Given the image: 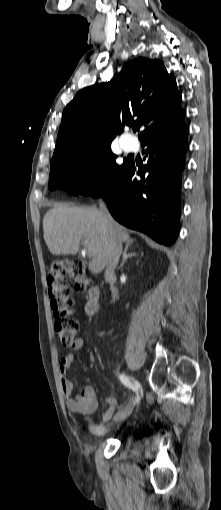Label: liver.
Returning a JSON list of instances; mask_svg holds the SVG:
<instances>
[{"label":"liver","mask_w":221,"mask_h":510,"mask_svg":"<svg viewBox=\"0 0 221 510\" xmlns=\"http://www.w3.org/2000/svg\"><path fill=\"white\" fill-rule=\"evenodd\" d=\"M44 240L56 256L76 255L83 242L91 250L88 269L94 274L106 267V254L111 233L121 242L132 243L128 231L113 219L109 225L106 214L95 207L58 205L47 211L43 219Z\"/></svg>","instance_id":"obj_1"}]
</instances>
